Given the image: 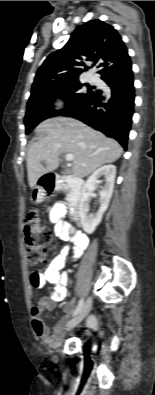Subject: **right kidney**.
<instances>
[{
  "label": "right kidney",
  "instance_id": "ca27d5eb",
  "mask_svg": "<svg viewBox=\"0 0 155 395\" xmlns=\"http://www.w3.org/2000/svg\"><path fill=\"white\" fill-rule=\"evenodd\" d=\"M116 175V167L114 165H105L97 169L86 181L82 189V197L79 204V214L81 224L84 231L92 234L102 220L104 212L107 210L110 199L112 197L114 181ZM105 176V186L100 191V208L93 215L89 213V197L91 192L96 189L98 179Z\"/></svg>",
  "mask_w": 155,
  "mask_h": 395
}]
</instances>
